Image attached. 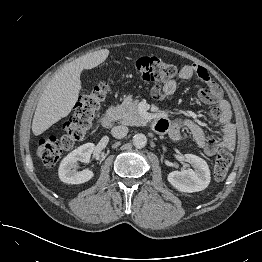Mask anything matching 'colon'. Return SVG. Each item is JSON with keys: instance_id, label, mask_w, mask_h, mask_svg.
<instances>
[{"instance_id": "5ec220e1", "label": "colon", "mask_w": 262, "mask_h": 262, "mask_svg": "<svg viewBox=\"0 0 262 262\" xmlns=\"http://www.w3.org/2000/svg\"><path fill=\"white\" fill-rule=\"evenodd\" d=\"M134 72L138 78L151 84V95L160 99L164 96L163 86L176 78L179 69L157 57H142L134 65ZM108 90L107 83H100L82 95L74 108V114L63 124L60 136L51 135L40 137L36 141V152L44 165H54L64 151L93 129L96 112ZM232 154L226 150L220 151L214 161V177L223 179L231 166Z\"/></svg>"}]
</instances>
